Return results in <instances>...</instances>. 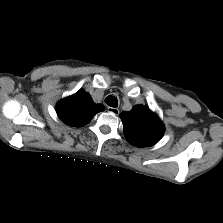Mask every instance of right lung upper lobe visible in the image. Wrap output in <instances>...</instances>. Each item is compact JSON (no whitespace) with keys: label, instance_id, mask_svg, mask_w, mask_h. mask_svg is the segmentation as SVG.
<instances>
[{"label":"right lung upper lobe","instance_id":"obj_1","mask_svg":"<svg viewBox=\"0 0 223 223\" xmlns=\"http://www.w3.org/2000/svg\"><path fill=\"white\" fill-rule=\"evenodd\" d=\"M103 110V105L95 104L84 90H79L74 95L61 100L56 106L58 116L67 125L75 127L89 123L96 113Z\"/></svg>","mask_w":223,"mask_h":223}]
</instances>
